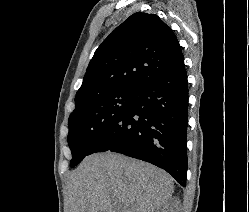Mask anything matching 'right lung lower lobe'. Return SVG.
Returning a JSON list of instances; mask_svg holds the SVG:
<instances>
[{"instance_id":"right-lung-lower-lobe-1","label":"right lung lower lobe","mask_w":249,"mask_h":212,"mask_svg":"<svg viewBox=\"0 0 249 212\" xmlns=\"http://www.w3.org/2000/svg\"><path fill=\"white\" fill-rule=\"evenodd\" d=\"M187 122L188 82L182 61L143 85L89 154L112 151L141 159L166 170L185 186Z\"/></svg>"}]
</instances>
